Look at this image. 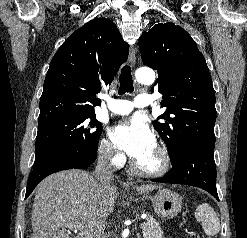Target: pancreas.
<instances>
[{
    "instance_id": "obj_1",
    "label": "pancreas",
    "mask_w": 247,
    "mask_h": 238,
    "mask_svg": "<svg viewBox=\"0 0 247 238\" xmlns=\"http://www.w3.org/2000/svg\"><path fill=\"white\" fill-rule=\"evenodd\" d=\"M143 238H163L160 223L153 218H148L143 228Z\"/></svg>"
}]
</instances>
